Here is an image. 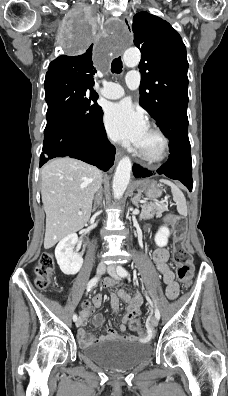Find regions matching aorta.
<instances>
[{"instance_id": "1", "label": "aorta", "mask_w": 228, "mask_h": 396, "mask_svg": "<svg viewBox=\"0 0 228 396\" xmlns=\"http://www.w3.org/2000/svg\"><path fill=\"white\" fill-rule=\"evenodd\" d=\"M140 52L136 49L129 48L124 52L123 61L127 67H135L140 62ZM132 163L128 156L123 157L117 167L113 178V194L115 199H120L130 181Z\"/></svg>"}]
</instances>
